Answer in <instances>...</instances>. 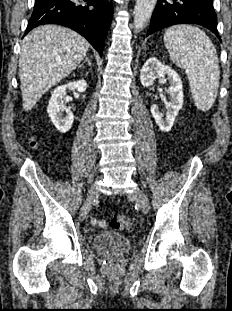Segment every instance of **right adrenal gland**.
<instances>
[{"mask_svg": "<svg viewBox=\"0 0 232 311\" xmlns=\"http://www.w3.org/2000/svg\"><path fill=\"white\" fill-rule=\"evenodd\" d=\"M85 63H88L89 66H91V62L89 61L87 55L85 57V61H83L80 65H79V68L82 67Z\"/></svg>", "mask_w": 232, "mask_h": 311, "instance_id": "obj_1", "label": "right adrenal gland"}]
</instances>
